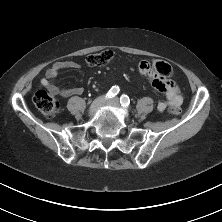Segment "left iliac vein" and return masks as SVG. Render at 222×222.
Listing matches in <instances>:
<instances>
[{
  "mask_svg": "<svg viewBox=\"0 0 222 222\" xmlns=\"http://www.w3.org/2000/svg\"><path fill=\"white\" fill-rule=\"evenodd\" d=\"M107 104L115 108H120L119 100L117 98H112L107 101Z\"/></svg>",
  "mask_w": 222,
  "mask_h": 222,
  "instance_id": "left-iliac-vein-1",
  "label": "left iliac vein"
}]
</instances>
